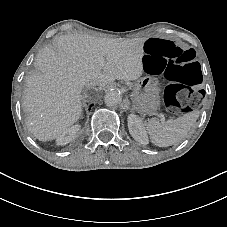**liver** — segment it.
<instances>
[{"instance_id":"1","label":"liver","mask_w":227,"mask_h":227,"mask_svg":"<svg viewBox=\"0 0 227 227\" xmlns=\"http://www.w3.org/2000/svg\"><path fill=\"white\" fill-rule=\"evenodd\" d=\"M146 40L60 36L56 48H45L37 56L38 72L25 79L29 131L40 141L55 140L81 117L85 86L109 89L116 80H138L144 73Z\"/></svg>"}]
</instances>
